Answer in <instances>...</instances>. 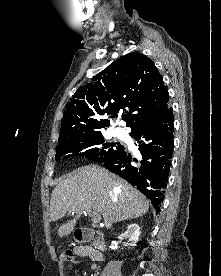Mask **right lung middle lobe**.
Wrapping results in <instances>:
<instances>
[{
  "mask_svg": "<svg viewBox=\"0 0 221 276\" xmlns=\"http://www.w3.org/2000/svg\"><path fill=\"white\" fill-rule=\"evenodd\" d=\"M114 147V148H113ZM124 150L122 145L104 143L101 132H95L86 136L73 138L59 142L56 147V160L67 158L75 154H86L90 160L104 163L118 155ZM83 152V153H82Z\"/></svg>",
  "mask_w": 221,
  "mask_h": 276,
  "instance_id": "right-lung-middle-lobe-1",
  "label": "right lung middle lobe"
}]
</instances>
